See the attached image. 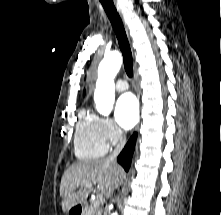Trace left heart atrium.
<instances>
[{"mask_svg": "<svg viewBox=\"0 0 221 215\" xmlns=\"http://www.w3.org/2000/svg\"><path fill=\"white\" fill-rule=\"evenodd\" d=\"M138 103L132 94L122 95L115 107V119L119 126L124 129H131L138 121Z\"/></svg>", "mask_w": 221, "mask_h": 215, "instance_id": "obj_1", "label": "left heart atrium"}]
</instances>
